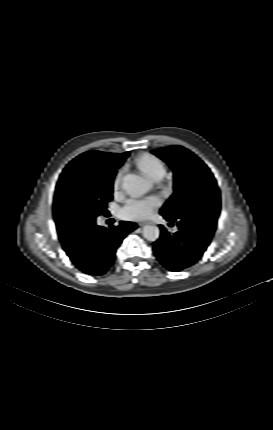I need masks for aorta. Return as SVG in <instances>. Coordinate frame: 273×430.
I'll use <instances>...</instances> for the list:
<instances>
[{"mask_svg": "<svg viewBox=\"0 0 273 430\" xmlns=\"http://www.w3.org/2000/svg\"><path fill=\"white\" fill-rule=\"evenodd\" d=\"M152 187L151 182L137 174H127L123 179V188L131 196L140 197L147 193ZM143 236L148 241H156L160 236L157 226L146 225L143 228Z\"/></svg>", "mask_w": 273, "mask_h": 430, "instance_id": "obj_1", "label": "aorta"}]
</instances>
